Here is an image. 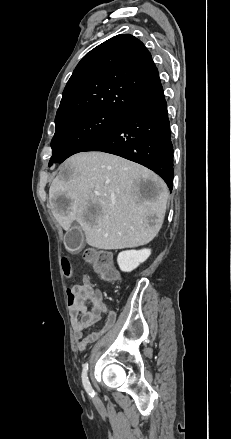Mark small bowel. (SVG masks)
Returning a JSON list of instances; mask_svg holds the SVG:
<instances>
[{"mask_svg": "<svg viewBox=\"0 0 231 439\" xmlns=\"http://www.w3.org/2000/svg\"><path fill=\"white\" fill-rule=\"evenodd\" d=\"M77 295V307H72V295ZM68 309L77 349L82 352L88 344L95 342L104 331L108 330L116 320V313L103 303L102 293L94 285L84 280L74 285L68 292ZM106 313V322L102 330L85 335V331L99 322Z\"/></svg>", "mask_w": 231, "mask_h": 439, "instance_id": "c3829d8e", "label": "small bowel"}]
</instances>
